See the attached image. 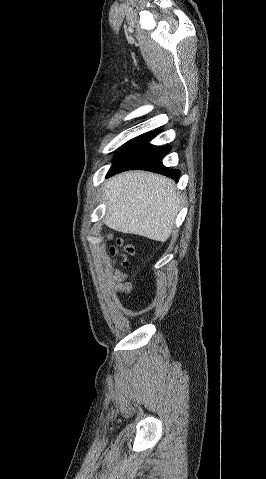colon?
Listing matches in <instances>:
<instances>
[{
    "label": "colon",
    "instance_id": "1",
    "mask_svg": "<svg viewBox=\"0 0 266 479\" xmlns=\"http://www.w3.org/2000/svg\"><path fill=\"white\" fill-rule=\"evenodd\" d=\"M133 253V247L130 244L124 243L123 240H118L117 245L110 248V254L114 257H122L121 262L122 266L127 265L126 256ZM117 282L119 285H124L126 283V275L122 272H118L116 276Z\"/></svg>",
    "mask_w": 266,
    "mask_h": 479
}]
</instances>
